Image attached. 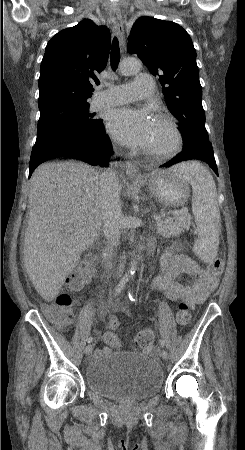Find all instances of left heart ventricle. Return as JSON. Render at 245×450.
<instances>
[{
	"mask_svg": "<svg viewBox=\"0 0 245 450\" xmlns=\"http://www.w3.org/2000/svg\"><path fill=\"white\" fill-rule=\"evenodd\" d=\"M171 134L164 128V126L154 122L153 132L147 148H164L171 143Z\"/></svg>",
	"mask_w": 245,
	"mask_h": 450,
	"instance_id": "left-heart-ventricle-1",
	"label": "left heart ventricle"
}]
</instances>
